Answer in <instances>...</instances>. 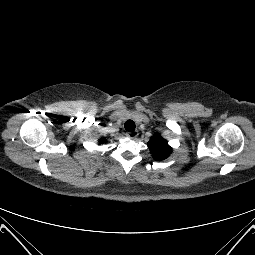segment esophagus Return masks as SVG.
Listing matches in <instances>:
<instances>
[{"label":"esophagus","instance_id":"esophagus-1","mask_svg":"<svg viewBox=\"0 0 255 255\" xmlns=\"http://www.w3.org/2000/svg\"><path fill=\"white\" fill-rule=\"evenodd\" d=\"M127 137L135 139L138 136V132L137 131H133V132H128Z\"/></svg>","mask_w":255,"mask_h":255}]
</instances>
